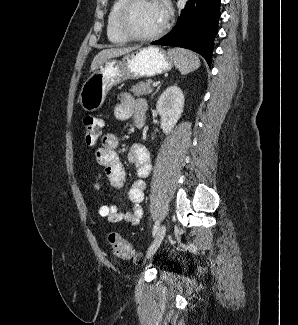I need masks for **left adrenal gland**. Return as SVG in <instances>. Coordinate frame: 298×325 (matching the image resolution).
<instances>
[{
    "mask_svg": "<svg viewBox=\"0 0 298 325\" xmlns=\"http://www.w3.org/2000/svg\"><path fill=\"white\" fill-rule=\"evenodd\" d=\"M160 88H161V84H159V86H157L155 92H153V94H152V98H153L154 94H156V92H158V90H160Z\"/></svg>",
    "mask_w": 298,
    "mask_h": 325,
    "instance_id": "left-adrenal-gland-1",
    "label": "left adrenal gland"
}]
</instances>
